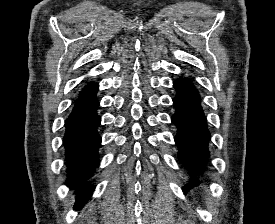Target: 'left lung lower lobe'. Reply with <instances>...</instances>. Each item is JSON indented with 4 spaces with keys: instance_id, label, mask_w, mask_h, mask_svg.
Here are the masks:
<instances>
[{
    "instance_id": "0a47b994",
    "label": "left lung lower lobe",
    "mask_w": 275,
    "mask_h": 224,
    "mask_svg": "<svg viewBox=\"0 0 275 224\" xmlns=\"http://www.w3.org/2000/svg\"><path fill=\"white\" fill-rule=\"evenodd\" d=\"M177 94L173 99L175 114L172 122L177 128L175 143L182 165L191 175V183L184 186L186 192L190 186L198 184L197 176L201 175L210 155V132L201 106L198 90L186 78L173 83Z\"/></svg>"
}]
</instances>
